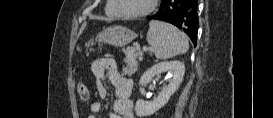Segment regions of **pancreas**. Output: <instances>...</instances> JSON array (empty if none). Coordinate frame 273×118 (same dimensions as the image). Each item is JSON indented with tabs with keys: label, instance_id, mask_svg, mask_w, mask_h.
Masks as SVG:
<instances>
[{
	"label": "pancreas",
	"instance_id": "cf45deb5",
	"mask_svg": "<svg viewBox=\"0 0 273 118\" xmlns=\"http://www.w3.org/2000/svg\"><path fill=\"white\" fill-rule=\"evenodd\" d=\"M140 52L137 48H131L125 51V63L126 66L123 67L122 71L125 75L131 76L134 74L138 68V62L137 59L140 56Z\"/></svg>",
	"mask_w": 273,
	"mask_h": 118
}]
</instances>
